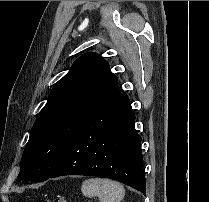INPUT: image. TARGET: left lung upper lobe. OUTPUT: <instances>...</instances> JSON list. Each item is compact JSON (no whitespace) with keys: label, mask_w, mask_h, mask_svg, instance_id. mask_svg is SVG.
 Wrapping results in <instances>:
<instances>
[{"label":"left lung upper lobe","mask_w":209,"mask_h":202,"mask_svg":"<svg viewBox=\"0 0 209 202\" xmlns=\"http://www.w3.org/2000/svg\"><path fill=\"white\" fill-rule=\"evenodd\" d=\"M121 95L118 78L96 53L78 58L51 90L30 132L18 178L42 182L60 163L83 123Z\"/></svg>","instance_id":"left-lung-upper-lobe-1"}]
</instances>
